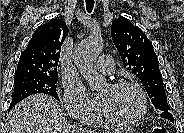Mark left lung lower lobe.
<instances>
[{"label":"left lung lower lobe","mask_w":184,"mask_h":133,"mask_svg":"<svg viewBox=\"0 0 184 133\" xmlns=\"http://www.w3.org/2000/svg\"><path fill=\"white\" fill-rule=\"evenodd\" d=\"M161 117L170 120L171 122H174V117L169 111H162Z\"/></svg>","instance_id":"0a47b994"}]
</instances>
